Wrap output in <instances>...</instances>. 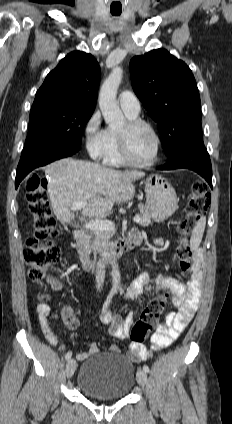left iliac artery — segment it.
<instances>
[{"label": "left iliac artery", "instance_id": "1", "mask_svg": "<svg viewBox=\"0 0 232 424\" xmlns=\"http://www.w3.org/2000/svg\"><path fill=\"white\" fill-rule=\"evenodd\" d=\"M143 370L148 373L149 372V367L147 365H144L143 366Z\"/></svg>", "mask_w": 232, "mask_h": 424}]
</instances>
